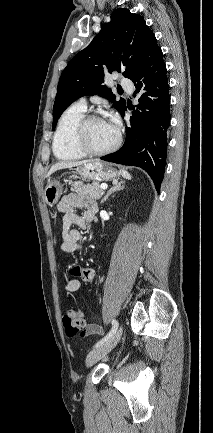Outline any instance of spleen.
<instances>
[{
	"label": "spleen",
	"mask_w": 213,
	"mask_h": 433,
	"mask_svg": "<svg viewBox=\"0 0 213 433\" xmlns=\"http://www.w3.org/2000/svg\"><path fill=\"white\" fill-rule=\"evenodd\" d=\"M120 173L124 178L131 179V175L127 171L121 170Z\"/></svg>",
	"instance_id": "spleen-1"
}]
</instances>
